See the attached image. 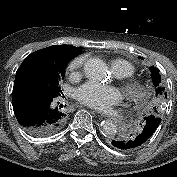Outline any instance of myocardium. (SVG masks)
<instances>
[{
	"instance_id": "1",
	"label": "myocardium",
	"mask_w": 177,
	"mask_h": 177,
	"mask_svg": "<svg viewBox=\"0 0 177 177\" xmlns=\"http://www.w3.org/2000/svg\"><path fill=\"white\" fill-rule=\"evenodd\" d=\"M122 88L128 99L140 101L147 95L144 84L138 78H129L122 82Z\"/></svg>"
}]
</instances>
